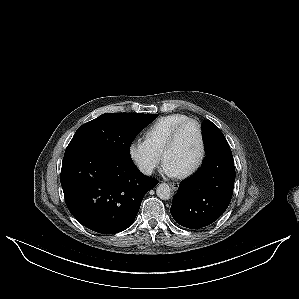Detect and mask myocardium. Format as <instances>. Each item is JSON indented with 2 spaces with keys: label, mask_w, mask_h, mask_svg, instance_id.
I'll list each match as a JSON object with an SVG mask.
<instances>
[{
  "label": "myocardium",
  "mask_w": 299,
  "mask_h": 299,
  "mask_svg": "<svg viewBox=\"0 0 299 299\" xmlns=\"http://www.w3.org/2000/svg\"><path fill=\"white\" fill-rule=\"evenodd\" d=\"M190 126L194 127L197 131L199 150H198V154H197V158H196L195 162L189 167V169H187V170H185V172H183V175H185V176L192 174L195 170L198 169V167L201 165V163L203 161L204 154H205L204 134H203V131H202L200 125L198 124V122L190 119V120L185 121L179 127H177L172 132V134L167 142V145L164 149V152H163L164 160L165 161L170 160L172 151L176 145L179 134L184 129H186L187 127H190Z\"/></svg>",
  "instance_id": "1"
}]
</instances>
